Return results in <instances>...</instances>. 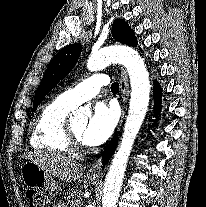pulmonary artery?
Wrapping results in <instances>:
<instances>
[{
  "mask_svg": "<svg viewBox=\"0 0 206 207\" xmlns=\"http://www.w3.org/2000/svg\"><path fill=\"white\" fill-rule=\"evenodd\" d=\"M108 83L109 77L106 74L93 75L61 95L69 104L77 107L98 95L100 88Z\"/></svg>",
  "mask_w": 206,
  "mask_h": 207,
  "instance_id": "1",
  "label": "pulmonary artery"
}]
</instances>
